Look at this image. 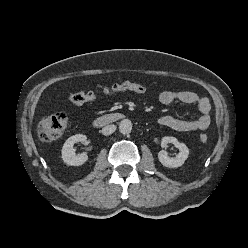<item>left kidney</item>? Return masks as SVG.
<instances>
[{
    "label": "left kidney",
    "instance_id": "1",
    "mask_svg": "<svg viewBox=\"0 0 248 248\" xmlns=\"http://www.w3.org/2000/svg\"><path fill=\"white\" fill-rule=\"evenodd\" d=\"M168 143H172L176 148H178L179 153L173 158L169 157L165 150H161L158 153V159L161 164L169 168H175L183 165L189 155L188 147L184 143L179 142L175 137H163L161 140V146L165 148Z\"/></svg>",
    "mask_w": 248,
    "mask_h": 248
}]
</instances>
